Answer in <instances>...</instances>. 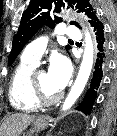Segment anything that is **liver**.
Returning <instances> with one entry per match:
<instances>
[{
	"label": "liver",
	"mask_w": 117,
	"mask_h": 136,
	"mask_svg": "<svg viewBox=\"0 0 117 136\" xmlns=\"http://www.w3.org/2000/svg\"><path fill=\"white\" fill-rule=\"evenodd\" d=\"M35 119V115L25 113L9 115L2 123L0 136H19Z\"/></svg>",
	"instance_id": "liver-1"
}]
</instances>
